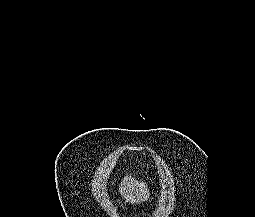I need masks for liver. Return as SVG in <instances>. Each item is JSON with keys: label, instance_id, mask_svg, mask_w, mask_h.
I'll list each match as a JSON object with an SVG mask.
<instances>
[{"label": "liver", "instance_id": "liver-1", "mask_svg": "<svg viewBox=\"0 0 255 217\" xmlns=\"http://www.w3.org/2000/svg\"><path fill=\"white\" fill-rule=\"evenodd\" d=\"M119 192L127 202L132 204L141 203L150 197L146 183L128 175L121 181Z\"/></svg>", "mask_w": 255, "mask_h": 217}]
</instances>
